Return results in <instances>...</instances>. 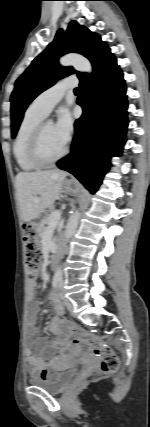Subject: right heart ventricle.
Listing matches in <instances>:
<instances>
[{"instance_id": "e07e8e85", "label": "right heart ventricle", "mask_w": 150, "mask_h": 427, "mask_svg": "<svg viewBox=\"0 0 150 427\" xmlns=\"http://www.w3.org/2000/svg\"><path fill=\"white\" fill-rule=\"evenodd\" d=\"M43 119L42 114L29 107L18 127L13 143V154L19 168L23 171L30 172L40 168L30 160L28 150L31 136Z\"/></svg>"}]
</instances>
